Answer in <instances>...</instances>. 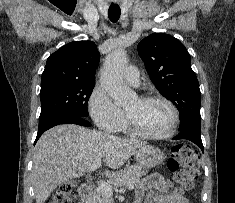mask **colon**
<instances>
[{
    "mask_svg": "<svg viewBox=\"0 0 235 203\" xmlns=\"http://www.w3.org/2000/svg\"><path fill=\"white\" fill-rule=\"evenodd\" d=\"M199 157L188 144H177L172 148L168 160V168L173 174L176 184L174 191L182 194L191 190L198 177ZM75 194L70 185H61L50 197L47 203H74Z\"/></svg>",
    "mask_w": 235,
    "mask_h": 203,
    "instance_id": "obj_1",
    "label": "colon"
}]
</instances>
